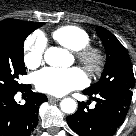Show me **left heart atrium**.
Returning <instances> with one entry per match:
<instances>
[{
	"label": "left heart atrium",
	"instance_id": "left-heart-atrium-1",
	"mask_svg": "<svg viewBox=\"0 0 136 136\" xmlns=\"http://www.w3.org/2000/svg\"><path fill=\"white\" fill-rule=\"evenodd\" d=\"M34 81L39 91L57 96L87 84V78L79 68H45L36 73Z\"/></svg>",
	"mask_w": 136,
	"mask_h": 136
}]
</instances>
